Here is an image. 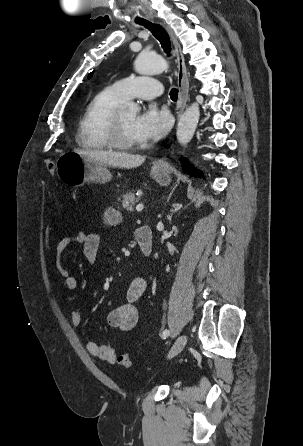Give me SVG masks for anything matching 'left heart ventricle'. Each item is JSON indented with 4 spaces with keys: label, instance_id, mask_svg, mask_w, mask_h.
<instances>
[{
    "label": "left heart ventricle",
    "instance_id": "b2bd125f",
    "mask_svg": "<svg viewBox=\"0 0 303 446\" xmlns=\"http://www.w3.org/2000/svg\"><path fill=\"white\" fill-rule=\"evenodd\" d=\"M137 115L134 112L131 111H122L121 112V122H122V128H123V134L126 139L133 142H138L139 140L134 135V122Z\"/></svg>",
    "mask_w": 303,
    "mask_h": 446
}]
</instances>
